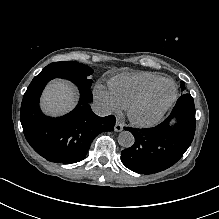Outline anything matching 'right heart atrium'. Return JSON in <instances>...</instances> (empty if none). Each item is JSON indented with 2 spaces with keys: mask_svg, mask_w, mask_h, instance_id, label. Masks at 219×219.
<instances>
[{
  "mask_svg": "<svg viewBox=\"0 0 219 219\" xmlns=\"http://www.w3.org/2000/svg\"><path fill=\"white\" fill-rule=\"evenodd\" d=\"M94 96L99 102H101L106 112H119L120 105L108 91L104 90L100 86H96L94 88Z\"/></svg>",
  "mask_w": 219,
  "mask_h": 219,
  "instance_id": "d8ad5b80",
  "label": "right heart atrium"
}]
</instances>
